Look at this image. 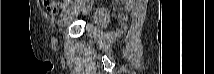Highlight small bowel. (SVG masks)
I'll return each instance as SVG.
<instances>
[{
  "mask_svg": "<svg viewBox=\"0 0 214 74\" xmlns=\"http://www.w3.org/2000/svg\"><path fill=\"white\" fill-rule=\"evenodd\" d=\"M53 3H54V2H51V1H50V2H46V7H47V8H53V7H55V5H53ZM63 7H64V5L61 6V8H63ZM57 12H58L57 9H53L52 14H53V15H56Z\"/></svg>",
  "mask_w": 214,
  "mask_h": 74,
  "instance_id": "1",
  "label": "small bowel"
}]
</instances>
